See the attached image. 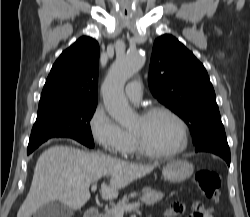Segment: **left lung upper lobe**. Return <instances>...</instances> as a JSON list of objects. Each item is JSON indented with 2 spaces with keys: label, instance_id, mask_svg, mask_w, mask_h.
Listing matches in <instances>:
<instances>
[{
  "label": "left lung upper lobe",
  "instance_id": "left-lung-upper-lobe-1",
  "mask_svg": "<svg viewBox=\"0 0 250 217\" xmlns=\"http://www.w3.org/2000/svg\"><path fill=\"white\" fill-rule=\"evenodd\" d=\"M149 87L155 98L186 122L195 146L224 131L203 64L172 35H162L154 42Z\"/></svg>",
  "mask_w": 250,
  "mask_h": 217
}]
</instances>
